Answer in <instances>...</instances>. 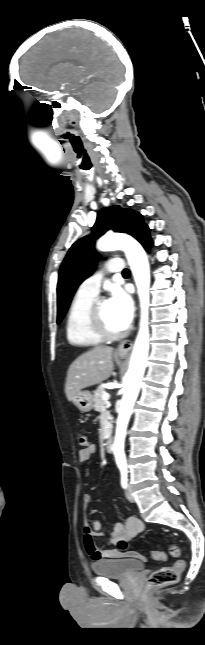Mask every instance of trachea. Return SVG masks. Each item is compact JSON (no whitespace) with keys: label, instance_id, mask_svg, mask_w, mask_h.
<instances>
[{"label":"trachea","instance_id":"3493384b","mask_svg":"<svg viewBox=\"0 0 205 645\" xmlns=\"http://www.w3.org/2000/svg\"><path fill=\"white\" fill-rule=\"evenodd\" d=\"M122 274H123V275H129V274H130L129 269H124V271H123V273H122Z\"/></svg>","mask_w":205,"mask_h":645}]
</instances>
